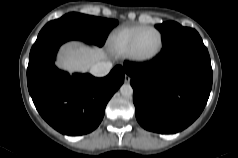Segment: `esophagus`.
Instances as JSON below:
<instances>
[{
	"label": "esophagus",
	"mask_w": 238,
	"mask_h": 158,
	"mask_svg": "<svg viewBox=\"0 0 238 158\" xmlns=\"http://www.w3.org/2000/svg\"><path fill=\"white\" fill-rule=\"evenodd\" d=\"M131 80V77L127 74H125V83H129Z\"/></svg>",
	"instance_id": "1"
}]
</instances>
